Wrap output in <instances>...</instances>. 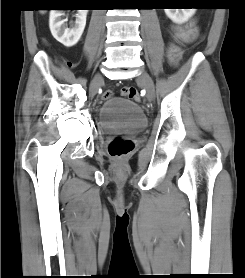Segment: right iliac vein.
<instances>
[{"mask_svg": "<svg viewBox=\"0 0 245 278\" xmlns=\"http://www.w3.org/2000/svg\"><path fill=\"white\" fill-rule=\"evenodd\" d=\"M102 81H103V77H102L101 74H97L94 77V79H93V81L91 83V87H90V94H91V96H94L97 93L98 88L101 85Z\"/></svg>", "mask_w": 245, "mask_h": 278, "instance_id": "63e3f726", "label": "right iliac vein"}]
</instances>
